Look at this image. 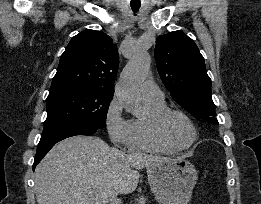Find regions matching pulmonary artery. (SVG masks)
I'll return each mask as SVG.
<instances>
[{
	"instance_id": "obj_1",
	"label": "pulmonary artery",
	"mask_w": 261,
	"mask_h": 204,
	"mask_svg": "<svg viewBox=\"0 0 261 204\" xmlns=\"http://www.w3.org/2000/svg\"><path fill=\"white\" fill-rule=\"evenodd\" d=\"M142 96L145 100L164 99L162 90L153 81H146L142 86Z\"/></svg>"
}]
</instances>
